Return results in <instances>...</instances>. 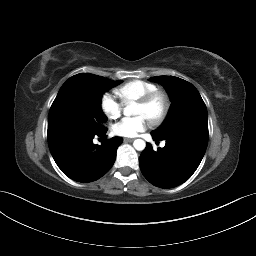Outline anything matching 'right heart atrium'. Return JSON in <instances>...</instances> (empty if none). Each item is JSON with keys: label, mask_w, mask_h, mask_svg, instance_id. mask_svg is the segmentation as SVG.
<instances>
[{"label": "right heart atrium", "mask_w": 256, "mask_h": 256, "mask_svg": "<svg viewBox=\"0 0 256 256\" xmlns=\"http://www.w3.org/2000/svg\"><path fill=\"white\" fill-rule=\"evenodd\" d=\"M100 105L103 113L111 120L118 119L122 114V104L108 93L102 95Z\"/></svg>", "instance_id": "1"}]
</instances>
